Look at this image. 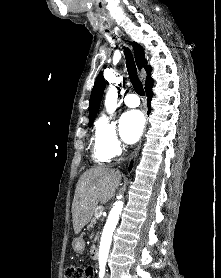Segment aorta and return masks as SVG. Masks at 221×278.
I'll return each mask as SVG.
<instances>
[{"label": "aorta", "instance_id": "762f6f07", "mask_svg": "<svg viewBox=\"0 0 221 278\" xmlns=\"http://www.w3.org/2000/svg\"><path fill=\"white\" fill-rule=\"evenodd\" d=\"M118 93L115 86H110L105 97L106 111L113 114L117 108ZM123 201H116L109 213L108 219L103 229L99 247V262L105 263L108 258L109 249L112 241V235L122 212Z\"/></svg>", "mask_w": 221, "mask_h": 278}]
</instances>
